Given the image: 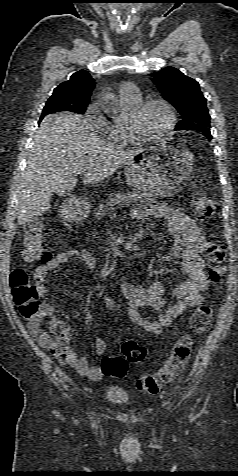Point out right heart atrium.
I'll return each mask as SVG.
<instances>
[{"label":"right heart atrium","mask_w":238,"mask_h":476,"mask_svg":"<svg viewBox=\"0 0 238 476\" xmlns=\"http://www.w3.org/2000/svg\"><path fill=\"white\" fill-rule=\"evenodd\" d=\"M99 104H92L87 110V117L92 126L102 135L109 137V128L103 118L99 116Z\"/></svg>","instance_id":"obj_1"}]
</instances>
